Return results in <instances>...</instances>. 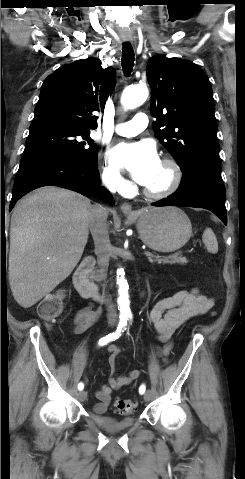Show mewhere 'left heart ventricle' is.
Masks as SVG:
<instances>
[{"label":"left heart ventricle","mask_w":245,"mask_h":479,"mask_svg":"<svg viewBox=\"0 0 245 479\" xmlns=\"http://www.w3.org/2000/svg\"><path fill=\"white\" fill-rule=\"evenodd\" d=\"M169 181V170L166 166L160 163V166L154 177L145 187L151 190H160L167 185Z\"/></svg>","instance_id":"b2bd125f"}]
</instances>
